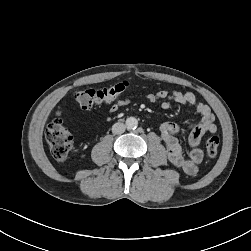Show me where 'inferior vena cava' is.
<instances>
[{
	"instance_id": "1",
	"label": "inferior vena cava",
	"mask_w": 251,
	"mask_h": 251,
	"mask_svg": "<svg viewBox=\"0 0 251 251\" xmlns=\"http://www.w3.org/2000/svg\"><path fill=\"white\" fill-rule=\"evenodd\" d=\"M125 130H126V125L121 122L115 123L112 126V133L114 134H122L125 132Z\"/></svg>"
}]
</instances>
